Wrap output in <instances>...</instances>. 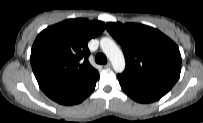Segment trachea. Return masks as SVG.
<instances>
[{"mask_svg":"<svg viewBox=\"0 0 203 123\" xmlns=\"http://www.w3.org/2000/svg\"><path fill=\"white\" fill-rule=\"evenodd\" d=\"M95 61L98 64H106L107 63V58L103 53H98L95 57Z\"/></svg>","mask_w":203,"mask_h":123,"instance_id":"obj_1","label":"trachea"}]
</instances>
